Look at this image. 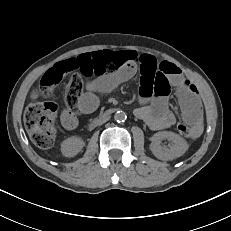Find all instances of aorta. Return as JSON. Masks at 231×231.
Returning a JSON list of instances; mask_svg holds the SVG:
<instances>
[{
  "instance_id": "aorta-1",
  "label": "aorta",
  "mask_w": 231,
  "mask_h": 231,
  "mask_svg": "<svg viewBox=\"0 0 231 231\" xmlns=\"http://www.w3.org/2000/svg\"><path fill=\"white\" fill-rule=\"evenodd\" d=\"M126 114L125 112L123 111H117L115 114H114V119L115 121L117 122H124L126 120Z\"/></svg>"
}]
</instances>
